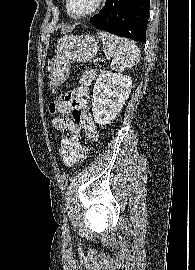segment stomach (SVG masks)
I'll list each match as a JSON object with an SVG mask.
<instances>
[{"instance_id": "obj_1", "label": "stomach", "mask_w": 195, "mask_h": 270, "mask_svg": "<svg viewBox=\"0 0 195 270\" xmlns=\"http://www.w3.org/2000/svg\"><path fill=\"white\" fill-rule=\"evenodd\" d=\"M98 49L99 40L92 35H69L61 38L57 45V56L50 67L52 85L58 86L67 79L72 62L89 61Z\"/></svg>"}]
</instances>
